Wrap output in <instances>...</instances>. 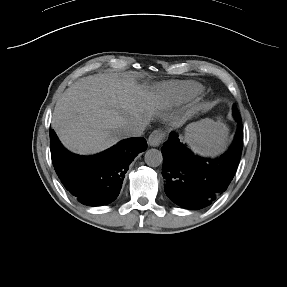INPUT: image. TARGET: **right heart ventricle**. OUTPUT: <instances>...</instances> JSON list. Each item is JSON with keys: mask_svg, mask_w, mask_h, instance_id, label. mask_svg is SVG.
Listing matches in <instances>:
<instances>
[{"mask_svg": "<svg viewBox=\"0 0 287 287\" xmlns=\"http://www.w3.org/2000/svg\"><path fill=\"white\" fill-rule=\"evenodd\" d=\"M165 98L171 103L188 101L202 92V86L191 81L166 84L162 88Z\"/></svg>", "mask_w": 287, "mask_h": 287, "instance_id": "e07e8e85", "label": "right heart ventricle"}]
</instances>
